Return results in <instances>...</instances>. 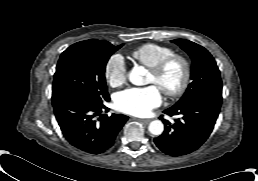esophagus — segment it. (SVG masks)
<instances>
[{"label":"esophagus","instance_id":"esophagus-1","mask_svg":"<svg viewBox=\"0 0 258 181\" xmlns=\"http://www.w3.org/2000/svg\"><path fill=\"white\" fill-rule=\"evenodd\" d=\"M141 121L145 124H148L151 122V119H142Z\"/></svg>","mask_w":258,"mask_h":181}]
</instances>
